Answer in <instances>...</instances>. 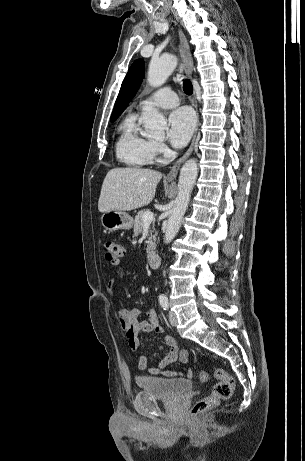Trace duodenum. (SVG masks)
Listing matches in <instances>:
<instances>
[{
	"instance_id": "duodenum-1",
	"label": "duodenum",
	"mask_w": 305,
	"mask_h": 461,
	"mask_svg": "<svg viewBox=\"0 0 305 461\" xmlns=\"http://www.w3.org/2000/svg\"><path fill=\"white\" fill-rule=\"evenodd\" d=\"M160 263V256L155 250H150L147 254V264L150 268H156Z\"/></svg>"
}]
</instances>
